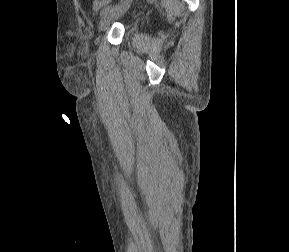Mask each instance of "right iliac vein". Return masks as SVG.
<instances>
[{
    "instance_id": "63e3f726",
    "label": "right iliac vein",
    "mask_w": 289,
    "mask_h": 252,
    "mask_svg": "<svg viewBox=\"0 0 289 252\" xmlns=\"http://www.w3.org/2000/svg\"><path fill=\"white\" fill-rule=\"evenodd\" d=\"M133 0H121L110 12L105 14L99 22V31H105L109 25L122 16L130 7Z\"/></svg>"
}]
</instances>
